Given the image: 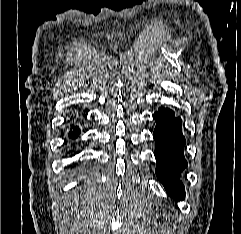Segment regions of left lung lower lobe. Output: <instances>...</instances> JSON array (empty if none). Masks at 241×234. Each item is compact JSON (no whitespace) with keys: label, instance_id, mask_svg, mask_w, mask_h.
Returning a JSON list of instances; mask_svg holds the SVG:
<instances>
[{"label":"left lung lower lobe","instance_id":"0a47b994","mask_svg":"<svg viewBox=\"0 0 241 234\" xmlns=\"http://www.w3.org/2000/svg\"><path fill=\"white\" fill-rule=\"evenodd\" d=\"M153 118L156 121L153 137L157 178L171 197L184 199V186L179 177L187 167V162L183 153L185 138L182 135L181 118L175 117L171 109L162 107L154 113Z\"/></svg>","mask_w":241,"mask_h":234}]
</instances>
